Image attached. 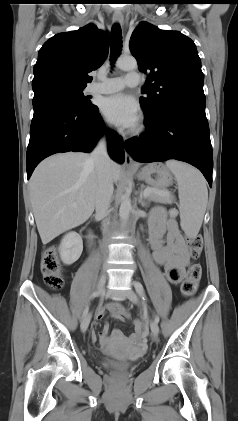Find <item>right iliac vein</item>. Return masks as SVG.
<instances>
[{
	"instance_id": "obj_1",
	"label": "right iliac vein",
	"mask_w": 238,
	"mask_h": 421,
	"mask_svg": "<svg viewBox=\"0 0 238 421\" xmlns=\"http://www.w3.org/2000/svg\"><path fill=\"white\" fill-rule=\"evenodd\" d=\"M107 280V275L105 273V271L102 272L99 282H98V286H97V290L99 292H101L104 289L105 283ZM91 320V314H87L81 321V330L82 331H86L88 329L89 323Z\"/></svg>"
}]
</instances>
